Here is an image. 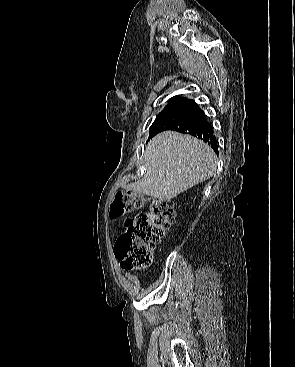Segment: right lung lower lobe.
Returning a JSON list of instances; mask_svg holds the SVG:
<instances>
[{
	"label": "right lung lower lobe",
	"instance_id": "right-lung-lower-lobe-1",
	"mask_svg": "<svg viewBox=\"0 0 295 367\" xmlns=\"http://www.w3.org/2000/svg\"><path fill=\"white\" fill-rule=\"evenodd\" d=\"M165 130H174L198 137L218 154V142L213 134V128L206 120L204 112L194 100H186L175 112L160 124L157 130L149 138Z\"/></svg>",
	"mask_w": 295,
	"mask_h": 367
}]
</instances>
